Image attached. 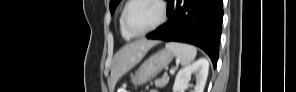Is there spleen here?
Listing matches in <instances>:
<instances>
[{
  "label": "spleen",
  "instance_id": "1",
  "mask_svg": "<svg viewBox=\"0 0 296 92\" xmlns=\"http://www.w3.org/2000/svg\"><path fill=\"white\" fill-rule=\"evenodd\" d=\"M166 48L177 56L182 66L189 65L197 54L194 46L185 43L169 42L166 44Z\"/></svg>",
  "mask_w": 296,
  "mask_h": 92
}]
</instances>
